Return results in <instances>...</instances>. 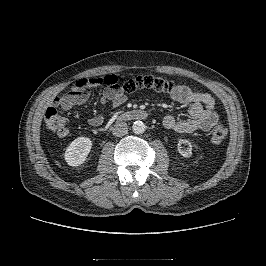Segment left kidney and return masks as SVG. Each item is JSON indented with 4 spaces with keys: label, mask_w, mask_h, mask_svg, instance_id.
I'll list each match as a JSON object with an SVG mask.
<instances>
[{
    "label": "left kidney",
    "mask_w": 266,
    "mask_h": 266,
    "mask_svg": "<svg viewBox=\"0 0 266 266\" xmlns=\"http://www.w3.org/2000/svg\"><path fill=\"white\" fill-rule=\"evenodd\" d=\"M182 145H186L187 146V150L186 151H184L182 149ZM178 151L183 157H186V158L190 157L191 154H192V145H191V143L189 141L185 140V139H180L178 141Z\"/></svg>",
    "instance_id": "left-kidney-1"
}]
</instances>
